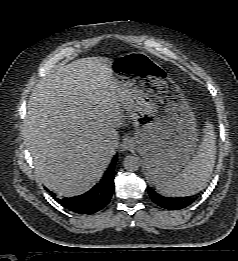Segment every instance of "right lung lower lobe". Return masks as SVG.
<instances>
[{"label": "right lung lower lobe", "instance_id": "right-lung-lower-lobe-1", "mask_svg": "<svg viewBox=\"0 0 238 261\" xmlns=\"http://www.w3.org/2000/svg\"><path fill=\"white\" fill-rule=\"evenodd\" d=\"M114 157L110 167L105 172L103 179L86 193L71 197L59 199L55 194L53 196L65 208L78 214H93L103 209L109 202L114 191Z\"/></svg>", "mask_w": 238, "mask_h": 261}]
</instances>
